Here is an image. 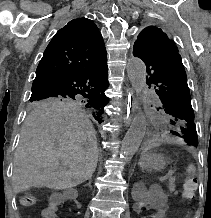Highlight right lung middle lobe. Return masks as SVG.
<instances>
[{"label": "right lung middle lobe", "mask_w": 211, "mask_h": 218, "mask_svg": "<svg viewBox=\"0 0 211 218\" xmlns=\"http://www.w3.org/2000/svg\"><path fill=\"white\" fill-rule=\"evenodd\" d=\"M32 90H34V87L32 88ZM30 102V108L32 109L80 106L96 110V113L99 116L100 112H103V107L107 104L108 99L104 97H45L30 99ZM94 117L98 119L95 114ZM98 121H100V119H98Z\"/></svg>", "instance_id": "1"}]
</instances>
